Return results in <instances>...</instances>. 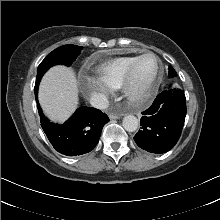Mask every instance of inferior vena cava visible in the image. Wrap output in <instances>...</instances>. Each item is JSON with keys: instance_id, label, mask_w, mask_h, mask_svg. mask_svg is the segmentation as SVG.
I'll list each match as a JSON object with an SVG mask.
<instances>
[{"instance_id": "inferior-vena-cava-1", "label": "inferior vena cava", "mask_w": 220, "mask_h": 220, "mask_svg": "<svg viewBox=\"0 0 220 220\" xmlns=\"http://www.w3.org/2000/svg\"><path fill=\"white\" fill-rule=\"evenodd\" d=\"M90 104L92 107L102 110L109 106V101L105 95L96 94L91 97Z\"/></svg>"}]
</instances>
